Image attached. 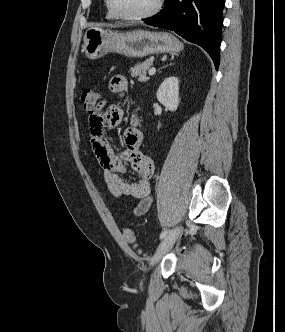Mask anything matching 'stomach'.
I'll use <instances>...</instances> for the list:
<instances>
[{
    "label": "stomach",
    "mask_w": 285,
    "mask_h": 332,
    "mask_svg": "<svg viewBox=\"0 0 285 332\" xmlns=\"http://www.w3.org/2000/svg\"><path fill=\"white\" fill-rule=\"evenodd\" d=\"M182 48L180 41L167 32L137 30L118 33L90 27L83 37L82 52L87 58L95 60L110 52L142 58L158 53L179 52Z\"/></svg>",
    "instance_id": "obj_1"
}]
</instances>
